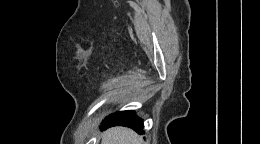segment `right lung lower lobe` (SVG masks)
<instances>
[{
  "mask_svg": "<svg viewBox=\"0 0 260 144\" xmlns=\"http://www.w3.org/2000/svg\"><path fill=\"white\" fill-rule=\"evenodd\" d=\"M127 126L133 128L139 134H143V122L137 117L134 111H121L111 114L103 121L101 129L106 130L112 126Z\"/></svg>",
  "mask_w": 260,
  "mask_h": 144,
  "instance_id": "1",
  "label": "right lung lower lobe"
}]
</instances>
